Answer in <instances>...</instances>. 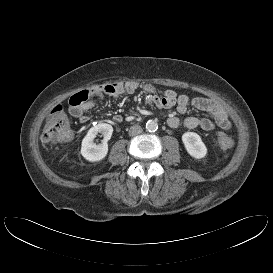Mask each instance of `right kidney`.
<instances>
[{"label":"right kidney","instance_id":"1","mask_svg":"<svg viewBox=\"0 0 273 273\" xmlns=\"http://www.w3.org/2000/svg\"><path fill=\"white\" fill-rule=\"evenodd\" d=\"M98 133L103 135L100 144H96L94 139ZM113 133V127L110 124L100 123L89 129L82 140L81 154L90 162H98L104 159L108 153V144Z\"/></svg>","mask_w":273,"mask_h":273}]
</instances>
